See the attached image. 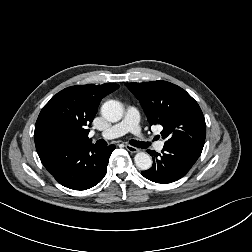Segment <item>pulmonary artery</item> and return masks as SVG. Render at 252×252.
<instances>
[{"label": "pulmonary artery", "instance_id": "obj_1", "mask_svg": "<svg viewBox=\"0 0 252 252\" xmlns=\"http://www.w3.org/2000/svg\"><path fill=\"white\" fill-rule=\"evenodd\" d=\"M128 132L133 133L142 142L148 143L151 141L142 133L139 126V112L134 107H128L123 120L100 133L99 137L109 140L120 137ZM163 146L164 143L162 141L155 144V148L158 151L162 150Z\"/></svg>", "mask_w": 252, "mask_h": 252}]
</instances>
